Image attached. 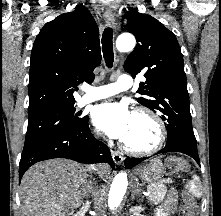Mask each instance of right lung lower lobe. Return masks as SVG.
<instances>
[{"instance_id": "1", "label": "right lung lower lobe", "mask_w": 221, "mask_h": 216, "mask_svg": "<svg viewBox=\"0 0 221 216\" xmlns=\"http://www.w3.org/2000/svg\"><path fill=\"white\" fill-rule=\"evenodd\" d=\"M52 158H67L80 163L106 162L115 167L109 148L90 132L88 117L77 126L52 135L23 149L19 164V181L33 164Z\"/></svg>"}]
</instances>
